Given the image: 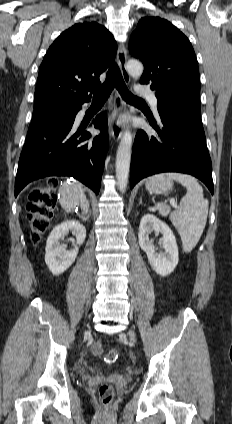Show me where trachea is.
Returning a JSON list of instances; mask_svg holds the SVG:
<instances>
[{
	"label": "trachea",
	"mask_w": 232,
	"mask_h": 424,
	"mask_svg": "<svg viewBox=\"0 0 232 424\" xmlns=\"http://www.w3.org/2000/svg\"><path fill=\"white\" fill-rule=\"evenodd\" d=\"M116 87L122 98L133 103H144V100L134 96L126 87L119 67L114 63L108 70L105 82L100 87H91L89 90L95 94L94 98L106 100L113 88Z\"/></svg>",
	"instance_id": "3493384b"
}]
</instances>
